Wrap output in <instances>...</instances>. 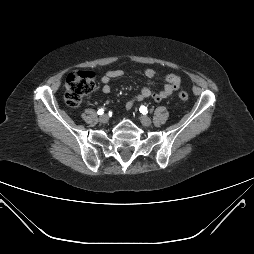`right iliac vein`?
<instances>
[{"label":"right iliac vein","mask_w":254,"mask_h":254,"mask_svg":"<svg viewBox=\"0 0 254 254\" xmlns=\"http://www.w3.org/2000/svg\"><path fill=\"white\" fill-rule=\"evenodd\" d=\"M108 120H109V117H108L107 114H103V115L100 116V118H99V121H100L101 123H103V124L107 123Z\"/></svg>","instance_id":"63e3f726"}]
</instances>
